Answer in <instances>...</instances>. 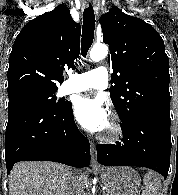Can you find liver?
Returning a JSON list of instances; mask_svg holds the SVG:
<instances>
[{"instance_id":"obj_1","label":"liver","mask_w":178,"mask_h":195,"mask_svg":"<svg viewBox=\"0 0 178 195\" xmlns=\"http://www.w3.org/2000/svg\"><path fill=\"white\" fill-rule=\"evenodd\" d=\"M73 175L70 167L54 162H19L9 175V195H73ZM75 175L82 191L88 175Z\"/></svg>"}]
</instances>
